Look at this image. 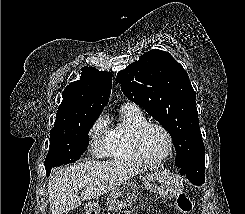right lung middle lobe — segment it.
<instances>
[{
  "label": "right lung middle lobe",
  "instance_id": "right-lung-middle-lobe-1",
  "mask_svg": "<svg viewBox=\"0 0 245 214\" xmlns=\"http://www.w3.org/2000/svg\"><path fill=\"white\" fill-rule=\"evenodd\" d=\"M99 115L100 112L81 115L69 128L50 135V148L44 162L47 176L53 167L75 162L81 157L89 144L88 133Z\"/></svg>",
  "mask_w": 245,
  "mask_h": 214
}]
</instances>
